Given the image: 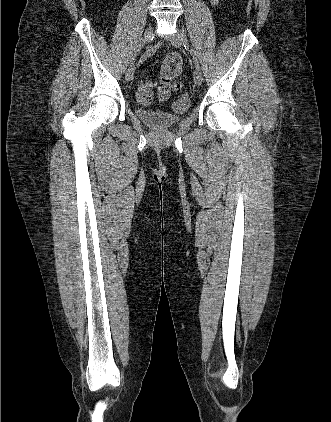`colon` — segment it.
Masks as SVG:
<instances>
[{
  "instance_id": "5ec220e1",
  "label": "colon",
  "mask_w": 331,
  "mask_h": 422,
  "mask_svg": "<svg viewBox=\"0 0 331 422\" xmlns=\"http://www.w3.org/2000/svg\"><path fill=\"white\" fill-rule=\"evenodd\" d=\"M182 71V58L176 53L168 54L161 68L160 82L158 86V94L161 100H165L169 97L172 92H179L182 88L179 82H175L174 79L180 76ZM146 100L143 99L142 103ZM188 106V98L186 95L173 103V110L176 112L183 111Z\"/></svg>"
}]
</instances>
